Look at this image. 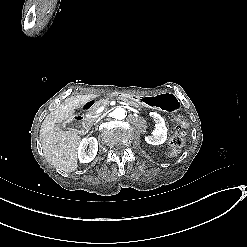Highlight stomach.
I'll return each mask as SVG.
<instances>
[{"label":"stomach","mask_w":247,"mask_h":247,"mask_svg":"<svg viewBox=\"0 0 247 247\" xmlns=\"http://www.w3.org/2000/svg\"><path fill=\"white\" fill-rule=\"evenodd\" d=\"M139 102L149 108L177 112L180 109V101L172 92H161L158 94L139 98Z\"/></svg>","instance_id":"stomach-1"}]
</instances>
